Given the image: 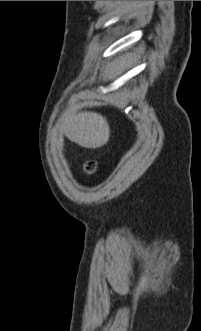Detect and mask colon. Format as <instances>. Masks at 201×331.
Wrapping results in <instances>:
<instances>
[{"mask_svg": "<svg viewBox=\"0 0 201 331\" xmlns=\"http://www.w3.org/2000/svg\"><path fill=\"white\" fill-rule=\"evenodd\" d=\"M85 170L87 173H92L94 171V164L92 162H88L85 165Z\"/></svg>", "mask_w": 201, "mask_h": 331, "instance_id": "obj_1", "label": "colon"}]
</instances>
